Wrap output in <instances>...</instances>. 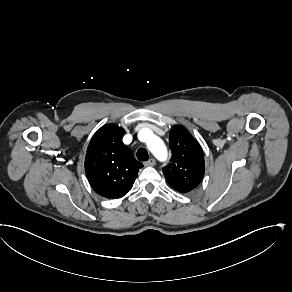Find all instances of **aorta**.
I'll list each match as a JSON object with an SVG mask.
<instances>
[{
    "label": "aorta",
    "mask_w": 292,
    "mask_h": 292,
    "mask_svg": "<svg viewBox=\"0 0 292 292\" xmlns=\"http://www.w3.org/2000/svg\"><path fill=\"white\" fill-rule=\"evenodd\" d=\"M148 146H149L150 150L155 154L156 157L163 159L166 156L165 146L160 139L152 138L149 141Z\"/></svg>",
    "instance_id": "762f6f07"
}]
</instances>
